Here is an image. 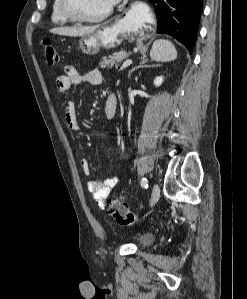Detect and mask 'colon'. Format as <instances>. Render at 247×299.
Listing matches in <instances>:
<instances>
[{
    "instance_id": "colon-1",
    "label": "colon",
    "mask_w": 247,
    "mask_h": 299,
    "mask_svg": "<svg viewBox=\"0 0 247 299\" xmlns=\"http://www.w3.org/2000/svg\"><path fill=\"white\" fill-rule=\"evenodd\" d=\"M45 59L49 65H55L59 62V54L51 40H45L43 43ZM108 211L112 219L123 226L133 225L136 221V215L130 210L128 204L120 199H111L108 202Z\"/></svg>"
}]
</instances>
